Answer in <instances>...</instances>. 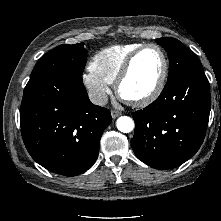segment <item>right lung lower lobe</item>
Returning a JSON list of instances; mask_svg holds the SVG:
<instances>
[{"label": "right lung lower lobe", "mask_w": 221, "mask_h": 221, "mask_svg": "<svg viewBox=\"0 0 221 221\" xmlns=\"http://www.w3.org/2000/svg\"><path fill=\"white\" fill-rule=\"evenodd\" d=\"M111 121L108 109L90 102L82 82L29 80L24 89L23 141L31 157L51 172L76 176L89 169Z\"/></svg>", "instance_id": "right-lung-lower-lobe-1"}]
</instances>
